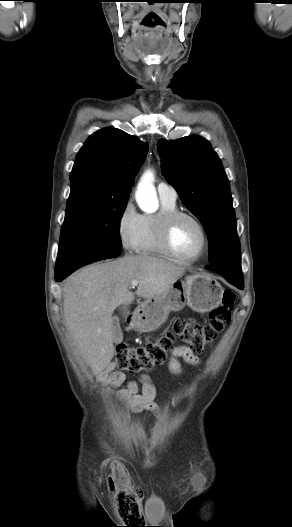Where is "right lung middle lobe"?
<instances>
[{
  "label": "right lung middle lobe",
  "mask_w": 292,
  "mask_h": 527,
  "mask_svg": "<svg viewBox=\"0 0 292 527\" xmlns=\"http://www.w3.org/2000/svg\"><path fill=\"white\" fill-rule=\"evenodd\" d=\"M128 197L71 187L60 246L103 244L121 249L119 225Z\"/></svg>",
  "instance_id": "obj_1"
}]
</instances>
